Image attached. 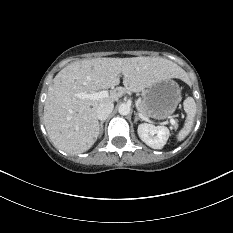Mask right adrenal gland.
<instances>
[{
	"instance_id": "obj_1",
	"label": "right adrenal gland",
	"mask_w": 233,
	"mask_h": 233,
	"mask_svg": "<svg viewBox=\"0 0 233 233\" xmlns=\"http://www.w3.org/2000/svg\"><path fill=\"white\" fill-rule=\"evenodd\" d=\"M105 122V120H103V121H101L100 123H99V136L101 137L102 136V134H103V123Z\"/></svg>"
}]
</instances>
